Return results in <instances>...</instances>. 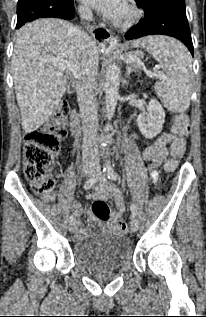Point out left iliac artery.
I'll list each match as a JSON object with an SVG mask.
<instances>
[{
	"mask_svg": "<svg viewBox=\"0 0 206 317\" xmlns=\"http://www.w3.org/2000/svg\"><path fill=\"white\" fill-rule=\"evenodd\" d=\"M107 175H108L109 179L114 180V181H116L118 178L117 173L111 167L107 168ZM130 209H131L132 215L135 216L137 213V208H136V205L134 203L131 204Z\"/></svg>",
	"mask_w": 206,
	"mask_h": 317,
	"instance_id": "1",
	"label": "left iliac artery"
}]
</instances>
